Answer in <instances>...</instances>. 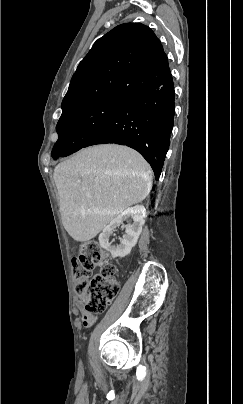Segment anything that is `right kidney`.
Wrapping results in <instances>:
<instances>
[{
    "mask_svg": "<svg viewBox=\"0 0 243 404\" xmlns=\"http://www.w3.org/2000/svg\"><path fill=\"white\" fill-rule=\"evenodd\" d=\"M146 210L144 206H134V208H127L125 212L119 214L115 220H112L106 228H104L102 234L99 236V244L101 248L110 252L112 258H125L130 254L133 246H136L137 240L142 232V226L144 224ZM131 220V224L125 226V234L120 240V244L118 246H112L111 242H109V238L111 234H113V230L123 224L125 220Z\"/></svg>",
    "mask_w": 243,
    "mask_h": 404,
    "instance_id": "ca27d5eb",
    "label": "right kidney"
}]
</instances>
